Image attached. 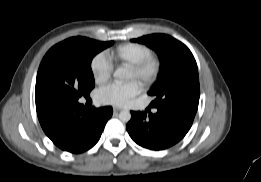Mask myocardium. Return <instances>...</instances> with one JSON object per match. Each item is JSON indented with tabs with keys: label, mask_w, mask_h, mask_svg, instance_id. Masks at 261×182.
Here are the masks:
<instances>
[{
	"label": "myocardium",
	"mask_w": 261,
	"mask_h": 182,
	"mask_svg": "<svg viewBox=\"0 0 261 182\" xmlns=\"http://www.w3.org/2000/svg\"><path fill=\"white\" fill-rule=\"evenodd\" d=\"M129 69L135 73L140 83L147 87L158 78L161 70V63L156 57L149 56L142 61L129 66Z\"/></svg>",
	"instance_id": "obj_1"
}]
</instances>
